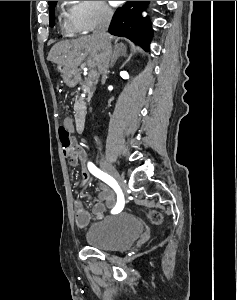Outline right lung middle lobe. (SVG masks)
Returning a JSON list of instances; mask_svg holds the SVG:
<instances>
[{
    "label": "right lung middle lobe",
    "mask_w": 237,
    "mask_h": 300,
    "mask_svg": "<svg viewBox=\"0 0 237 300\" xmlns=\"http://www.w3.org/2000/svg\"><path fill=\"white\" fill-rule=\"evenodd\" d=\"M57 1H53L49 4V13H50V27L54 26L55 23V15H54V8L56 6Z\"/></svg>",
    "instance_id": "dd1d6c3e"
}]
</instances>
